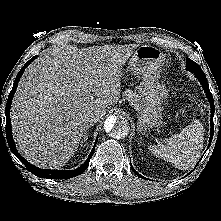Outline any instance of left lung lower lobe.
Returning <instances> with one entry per match:
<instances>
[{"mask_svg": "<svg viewBox=\"0 0 221 221\" xmlns=\"http://www.w3.org/2000/svg\"><path fill=\"white\" fill-rule=\"evenodd\" d=\"M194 73V75L197 77V79L200 81L205 93H206V96L207 98L209 99V102H210V105H211V135H210V142H209V146L211 144V141H212V138H213V115H214V101H213V96L209 90V85H208V82H207V79L204 75V72L203 71H195V72H192ZM208 149V148H207ZM133 172L135 174H137L139 177L141 178H144L143 176H141L140 174H138L135 169L131 166ZM145 179V178H144Z\"/></svg>", "mask_w": 221, "mask_h": 221, "instance_id": "left-lung-lower-lobe-1", "label": "left lung lower lobe"}]
</instances>
